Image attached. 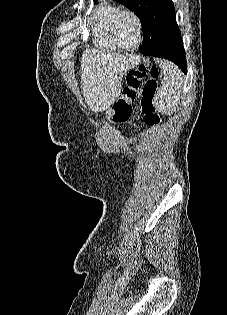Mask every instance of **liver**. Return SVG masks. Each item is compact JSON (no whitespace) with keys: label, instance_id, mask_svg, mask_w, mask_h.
Segmentation results:
<instances>
[{"label":"liver","instance_id":"6515ba94","mask_svg":"<svg viewBox=\"0 0 227 315\" xmlns=\"http://www.w3.org/2000/svg\"><path fill=\"white\" fill-rule=\"evenodd\" d=\"M137 64L129 55L88 49L81 59L85 101L94 112L108 109L119 98L124 74Z\"/></svg>","mask_w":227,"mask_h":315}]
</instances>
